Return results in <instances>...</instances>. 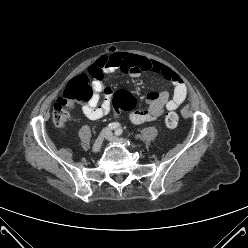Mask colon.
<instances>
[{
  "label": "colon",
  "instance_id": "obj_1",
  "mask_svg": "<svg viewBox=\"0 0 248 248\" xmlns=\"http://www.w3.org/2000/svg\"><path fill=\"white\" fill-rule=\"evenodd\" d=\"M89 74L94 78H101V69L90 68ZM94 95L93 86L86 74H80L68 83L63 97L59 98L53 107V122L56 126H65L71 118V110L77 102L87 103ZM133 99L124 92L118 93L114 98V110H132ZM165 123L169 128H174L178 123V116L175 112H170L165 118Z\"/></svg>",
  "mask_w": 248,
  "mask_h": 248
}]
</instances>
